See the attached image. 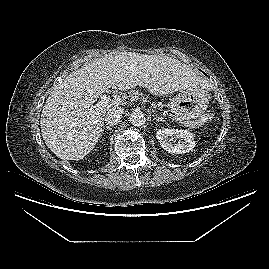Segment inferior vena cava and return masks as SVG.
I'll list each match as a JSON object with an SVG mask.
<instances>
[{"instance_id": "602c4592", "label": "inferior vena cava", "mask_w": 269, "mask_h": 269, "mask_svg": "<svg viewBox=\"0 0 269 269\" xmlns=\"http://www.w3.org/2000/svg\"><path fill=\"white\" fill-rule=\"evenodd\" d=\"M124 114V109L117 107L111 108L107 111L104 117V121L107 125L114 126L117 125Z\"/></svg>"}]
</instances>
